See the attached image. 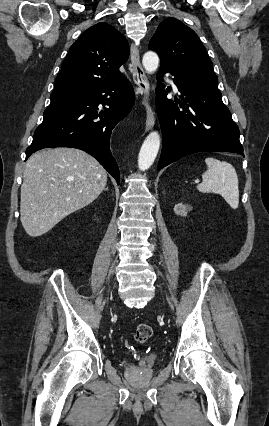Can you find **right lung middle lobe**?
I'll use <instances>...</instances> for the list:
<instances>
[{
    "label": "right lung middle lobe",
    "mask_w": 269,
    "mask_h": 426,
    "mask_svg": "<svg viewBox=\"0 0 269 426\" xmlns=\"http://www.w3.org/2000/svg\"><path fill=\"white\" fill-rule=\"evenodd\" d=\"M78 95L79 92L72 91L52 92L50 96L51 102L46 110L54 109L72 102Z\"/></svg>",
    "instance_id": "1"
}]
</instances>
